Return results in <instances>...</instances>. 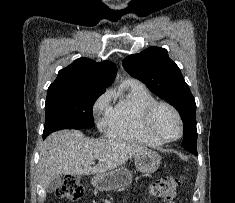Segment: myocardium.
Masks as SVG:
<instances>
[{
    "mask_svg": "<svg viewBox=\"0 0 235 203\" xmlns=\"http://www.w3.org/2000/svg\"><path fill=\"white\" fill-rule=\"evenodd\" d=\"M161 107H166L168 108L176 117L178 124H179V133L176 137L174 138H163L159 135H157L151 127L153 117L156 113V111L161 108ZM142 125L145 133L151 137L153 140L160 144H166V143H171L179 140L184 132V123L183 119L179 113V111L170 103L164 102V101H155L154 103L150 104L143 112L142 116Z\"/></svg>",
    "mask_w": 235,
    "mask_h": 203,
    "instance_id": "myocardium-1",
    "label": "myocardium"
}]
</instances>
